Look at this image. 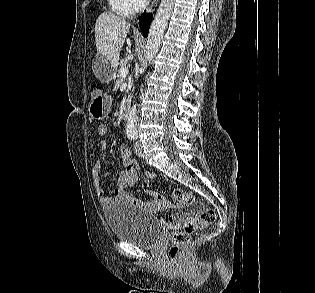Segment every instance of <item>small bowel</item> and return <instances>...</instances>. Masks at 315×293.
Listing matches in <instances>:
<instances>
[{
	"label": "small bowel",
	"instance_id": "c3829d8e",
	"mask_svg": "<svg viewBox=\"0 0 315 293\" xmlns=\"http://www.w3.org/2000/svg\"><path fill=\"white\" fill-rule=\"evenodd\" d=\"M107 147V141L102 140L100 142V149L106 150ZM119 151L122 157V161L120 165V171L118 174L114 197H107L104 195V190L102 188L99 177V171L101 167L100 162H95L92 168V182L94 190L96 195L99 197L100 203L103 207H106L114 202H126L137 207L146 208L155 214L161 213L168 209H179L182 207V205L180 204L173 205L166 198L150 189H145V193L151 197L150 201H143L135 197L129 191V188L134 186L137 182V169L139 167V162L131 157L130 151L125 145L122 144L119 148ZM153 176L154 174L152 173H149L147 175L148 178H151ZM188 218H190L189 213L181 212L170 216L167 220H165V222L167 225L177 226V228H180V224Z\"/></svg>",
	"mask_w": 315,
	"mask_h": 293
}]
</instances>
